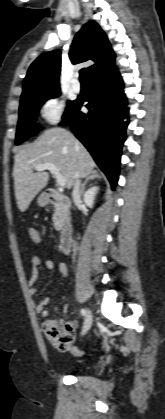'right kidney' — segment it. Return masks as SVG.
<instances>
[{"instance_id": "1", "label": "right kidney", "mask_w": 165, "mask_h": 419, "mask_svg": "<svg viewBox=\"0 0 165 419\" xmlns=\"http://www.w3.org/2000/svg\"><path fill=\"white\" fill-rule=\"evenodd\" d=\"M97 191H98V187L93 186V187L89 188L84 194V198H83L84 202L90 208H92L93 205H94V199H95V195H96Z\"/></svg>"}]
</instances>
